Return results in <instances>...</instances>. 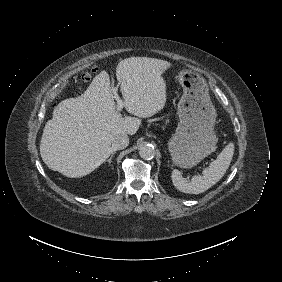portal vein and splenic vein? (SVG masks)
I'll list each match as a JSON object with an SVG mask.
<instances>
[{
  "mask_svg": "<svg viewBox=\"0 0 282 282\" xmlns=\"http://www.w3.org/2000/svg\"><path fill=\"white\" fill-rule=\"evenodd\" d=\"M112 92L114 94L115 100L117 101V110L121 111L123 109L124 103L117 94V89L114 88Z\"/></svg>",
  "mask_w": 282,
  "mask_h": 282,
  "instance_id": "obj_1",
  "label": "portal vein and splenic vein"
}]
</instances>
